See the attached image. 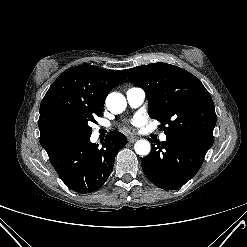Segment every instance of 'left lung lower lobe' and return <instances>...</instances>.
<instances>
[{"mask_svg": "<svg viewBox=\"0 0 247 247\" xmlns=\"http://www.w3.org/2000/svg\"><path fill=\"white\" fill-rule=\"evenodd\" d=\"M209 148L191 138L167 136L142 159V169L157 187L175 190L195 176Z\"/></svg>", "mask_w": 247, "mask_h": 247, "instance_id": "left-lung-lower-lobe-1", "label": "left lung lower lobe"}]
</instances>
